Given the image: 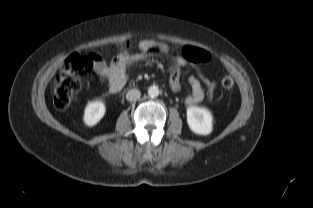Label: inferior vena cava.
Here are the masks:
<instances>
[{
  "label": "inferior vena cava",
  "instance_id": "1",
  "mask_svg": "<svg viewBox=\"0 0 313 208\" xmlns=\"http://www.w3.org/2000/svg\"><path fill=\"white\" fill-rule=\"evenodd\" d=\"M141 92L138 89H131L126 94V99L128 101H136L140 98Z\"/></svg>",
  "mask_w": 313,
  "mask_h": 208
}]
</instances>
